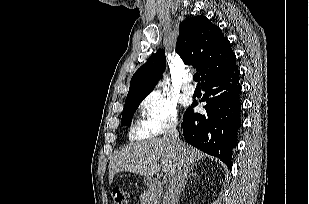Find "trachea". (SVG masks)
I'll return each instance as SVG.
<instances>
[{
  "label": "trachea",
  "instance_id": "obj_1",
  "mask_svg": "<svg viewBox=\"0 0 309 204\" xmlns=\"http://www.w3.org/2000/svg\"><path fill=\"white\" fill-rule=\"evenodd\" d=\"M194 81L199 82L200 81V75L198 73L194 74Z\"/></svg>",
  "mask_w": 309,
  "mask_h": 204
}]
</instances>
